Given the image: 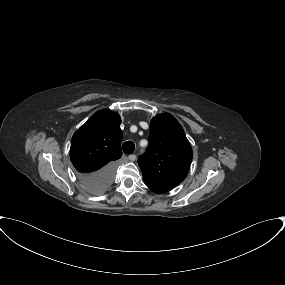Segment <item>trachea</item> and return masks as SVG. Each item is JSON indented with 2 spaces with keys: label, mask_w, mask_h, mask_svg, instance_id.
I'll list each match as a JSON object with an SVG mask.
<instances>
[{
  "label": "trachea",
  "mask_w": 285,
  "mask_h": 285,
  "mask_svg": "<svg viewBox=\"0 0 285 285\" xmlns=\"http://www.w3.org/2000/svg\"><path fill=\"white\" fill-rule=\"evenodd\" d=\"M122 150L126 154H132L135 150V144L132 141H127L123 144Z\"/></svg>",
  "instance_id": "obj_1"
}]
</instances>
